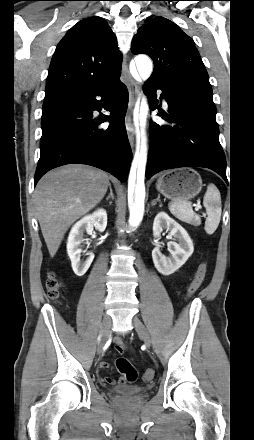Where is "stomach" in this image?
Masks as SVG:
<instances>
[{"label":"stomach","instance_id":"1","mask_svg":"<svg viewBox=\"0 0 254 440\" xmlns=\"http://www.w3.org/2000/svg\"><path fill=\"white\" fill-rule=\"evenodd\" d=\"M202 186L201 176L191 168L167 171L156 183L157 190L173 201H187L194 198L201 191Z\"/></svg>","mask_w":254,"mask_h":440}]
</instances>
